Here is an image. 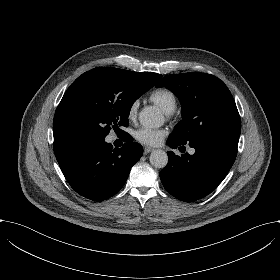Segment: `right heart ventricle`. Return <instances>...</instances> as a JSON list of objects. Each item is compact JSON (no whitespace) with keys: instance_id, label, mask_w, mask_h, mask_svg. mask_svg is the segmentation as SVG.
<instances>
[{"instance_id":"obj_1","label":"right heart ventricle","mask_w":280,"mask_h":280,"mask_svg":"<svg viewBox=\"0 0 280 280\" xmlns=\"http://www.w3.org/2000/svg\"><path fill=\"white\" fill-rule=\"evenodd\" d=\"M149 100L161 107L165 112H172L177 107V96L166 87L153 89L149 94Z\"/></svg>"}]
</instances>
